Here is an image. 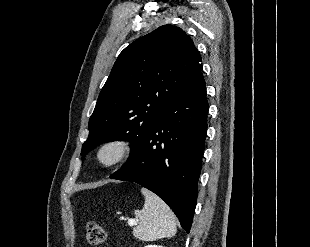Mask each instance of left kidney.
I'll list each match as a JSON object with an SVG mask.
<instances>
[{
  "label": "left kidney",
  "instance_id": "obj_1",
  "mask_svg": "<svg viewBox=\"0 0 310 247\" xmlns=\"http://www.w3.org/2000/svg\"><path fill=\"white\" fill-rule=\"evenodd\" d=\"M145 247H163V246H158V245H147Z\"/></svg>",
  "mask_w": 310,
  "mask_h": 247
}]
</instances>
